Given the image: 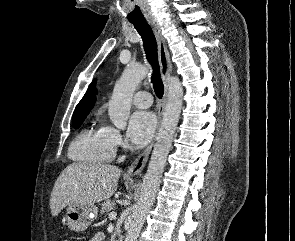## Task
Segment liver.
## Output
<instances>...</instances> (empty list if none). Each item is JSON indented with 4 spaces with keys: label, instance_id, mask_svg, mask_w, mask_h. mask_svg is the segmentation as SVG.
<instances>
[{
    "label": "liver",
    "instance_id": "1",
    "mask_svg": "<svg viewBox=\"0 0 295 241\" xmlns=\"http://www.w3.org/2000/svg\"><path fill=\"white\" fill-rule=\"evenodd\" d=\"M120 169L101 163H72L59 175L50 197L52 216L70 204L93 205L117 189Z\"/></svg>",
    "mask_w": 295,
    "mask_h": 241
}]
</instances>
